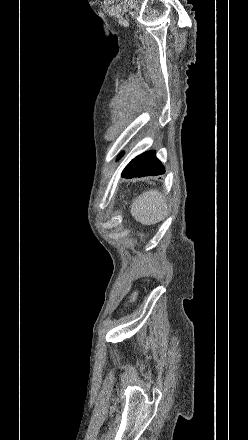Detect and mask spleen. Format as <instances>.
Here are the masks:
<instances>
[{
	"mask_svg": "<svg viewBox=\"0 0 248 440\" xmlns=\"http://www.w3.org/2000/svg\"><path fill=\"white\" fill-rule=\"evenodd\" d=\"M131 213L144 225L159 223L167 214L165 198L157 190L146 191L133 200Z\"/></svg>",
	"mask_w": 248,
	"mask_h": 440,
	"instance_id": "1",
	"label": "spleen"
}]
</instances>
